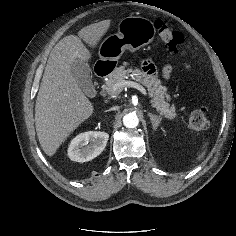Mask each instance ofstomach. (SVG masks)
Segmentation results:
<instances>
[{"instance_id": "1", "label": "stomach", "mask_w": 236, "mask_h": 236, "mask_svg": "<svg viewBox=\"0 0 236 236\" xmlns=\"http://www.w3.org/2000/svg\"><path fill=\"white\" fill-rule=\"evenodd\" d=\"M155 33L153 23L146 18L139 16L123 18L118 24V33L108 36L101 43L100 61L109 62L110 69H113L125 50L135 52L150 44Z\"/></svg>"}]
</instances>
